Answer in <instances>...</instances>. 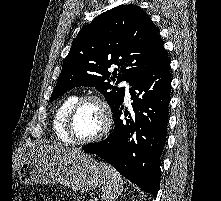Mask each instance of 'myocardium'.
I'll list each match as a JSON object with an SVG mask.
<instances>
[{
    "label": "myocardium",
    "mask_w": 221,
    "mask_h": 201,
    "mask_svg": "<svg viewBox=\"0 0 221 201\" xmlns=\"http://www.w3.org/2000/svg\"><path fill=\"white\" fill-rule=\"evenodd\" d=\"M88 101H94L100 106L102 113H103V127L98 134H96L95 136L91 138L78 139L75 137L73 133V128H72L73 120L75 118V115L78 109L81 107V105ZM112 118L113 116H112L111 107L104 97L98 94H87V95L81 96L72 105L67 115V118H66L67 135L69 136L72 143L79 144V145H86V144L97 142L101 140L103 137H105L107 133L109 132L111 125H112Z\"/></svg>",
    "instance_id": "myocardium-1"
}]
</instances>
